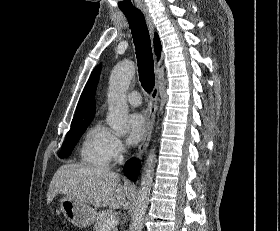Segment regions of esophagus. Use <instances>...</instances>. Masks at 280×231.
Listing matches in <instances>:
<instances>
[{"label": "esophagus", "mask_w": 280, "mask_h": 231, "mask_svg": "<svg viewBox=\"0 0 280 231\" xmlns=\"http://www.w3.org/2000/svg\"><path fill=\"white\" fill-rule=\"evenodd\" d=\"M139 9L141 10V12L144 15V18L146 20V24H147V27H148V30L150 33V37L153 40L154 33H155V25H154L153 18L151 16V14L149 13V9L146 6H141V7H139ZM158 92H159V86H158V84H156L150 95L148 112H147V127L145 130V134L136 151V157L139 159L143 156V154L145 153V151L149 145L152 131L154 128L156 111L158 109Z\"/></svg>", "instance_id": "obj_1"}]
</instances>
